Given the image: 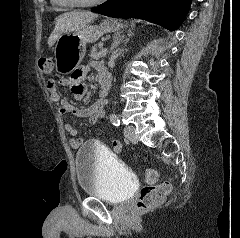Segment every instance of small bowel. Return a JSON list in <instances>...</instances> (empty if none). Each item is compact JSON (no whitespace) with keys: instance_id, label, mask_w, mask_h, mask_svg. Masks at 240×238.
Segmentation results:
<instances>
[{"instance_id":"small-bowel-1","label":"small bowel","mask_w":240,"mask_h":238,"mask_svg":"<svg viewBox=\"0 0 240 238\" xmlns=\"http://www.w3.org/2000/svg\"><path fill=\"white\" fill-rule=\"evenodd\" d=\"M94 66L98 70L99 75L101 72H106L101 64L94 63ZM88 69V67L77 69L70 79H60L59 84L64 87H69L76 99L83 98L86 92V88L81 82V77L88 72ZM47 90L49 92L51 100L57 105L58 111L61 114L71 113L77 117H88L90 124H95L96 122L102 120L105 116L104 107L107 104L106 99L99 98L90 107L80 108L66 100L61 99L55 80H48ZM64 127L71 136V139L69 141L70 146L74 149L80 148L84 141L80 138H77L78 130L69 121L65 122ZM112 146L114 148V154H123L124 150L121 148H126L127 144L123 143L121 147V144L118 141H112Z\"/></svg>"}]
</instances>
